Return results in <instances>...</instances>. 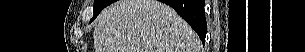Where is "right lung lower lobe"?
<instances>
[{
  "instance_id": "98d812e1",
  "label": "right lung lower lobe",
  "mask_w": 305,
  "mask_h": 52,
  "mask_svg": "<svg viewBox=\"0 0 305 52\" xmlns=\"http://www.w3.org/2000/svg\"><path fill=\"white\" fill-rule=\"evenodd\" d=\"M163 3L171 6L175 11L185 19L190 26L199 35L202 43H205L207 32V23L204 12V0H161ZM114 0L106 5L113 3Z\"/></svg>"
}]
</instances>
